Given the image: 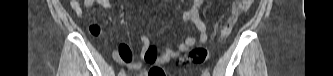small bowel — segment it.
I'll list each match as a JSON object with an SVG mask.
<instances>
[{
    "mask_svg": "<svg viewBox=\"0 0 333 76\" xmlns=\"http://www.w3.org/2000/svg\"><path fill=\"white\" fill-rule=\"evenodd\" d=\"M203 0H194L191 7L181 12V17L186 25L193 23L197 30V37L188 35L184 40L178 44L176 48L167 46L161 51H158L156 46L151 43L147 36H141L140 41L142 43L140 51V61L132 62V52L129 45L126 42H121L116 50L113 52L115 60L119 63H126L128 68L133 71H140L143 63H148L146 69V76H168L166 68H162V65L168 64L171 60L180 56L186 52L189 48L194 46L197 42L204 44L208 39V29L204 21L199 14V8L202 5ZM98 5L104 9H111L112 3L110 0H84L80 3L78 0H70L69 6L75 12L78 17H82L83 9ZM90 32L93 39H102L103 34L100 32V26L98 23H93L90 27Z\"/></svg>",
    "mask_w": 333,
    "mask_h": 76,
    "instance_id": "c3829d8e",
    "label": "small bowel"
}]
</instances>
